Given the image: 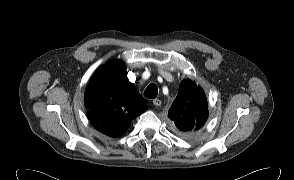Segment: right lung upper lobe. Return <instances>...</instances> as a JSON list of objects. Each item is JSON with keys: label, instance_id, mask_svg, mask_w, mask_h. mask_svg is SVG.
<instances>
[{"label": "right lung upper lobe", "instance_id": "obj_1", "mask_svg": "<svg viewBox=\"0 0 294 180\" xmlns=\"http://www.w3.org/2000/svg\"><path fill=\"white\" fill-rule=\"evenodd\" d=\"M85 106L92 125L100 132L118 137L146 109V100L127 78L122 61L100 66L85 93Z\"/></svg>", "mask_w": 294, "mask_h": 180}]
</instances>
